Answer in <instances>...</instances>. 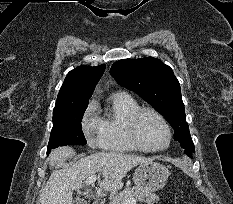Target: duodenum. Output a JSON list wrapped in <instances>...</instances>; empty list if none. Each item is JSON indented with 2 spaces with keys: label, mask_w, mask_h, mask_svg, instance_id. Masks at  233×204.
Returning <instances> with one entry per match:
<instances>
[{
  "label": "duodenum",
  "mask_w": 233,
  "mask_h": 204,
  "mask_svg": "<svg viewBox=\"0 0 233 204\" xmlns=\"http://www.w3.org/2000/svg\"><path fill=\"white\" fill-rule=\"evenodd\" d=\"M92 204H101V203L98 201H94Z\"/></svg>",
  "instance_id": "1"
}]
</instances>
